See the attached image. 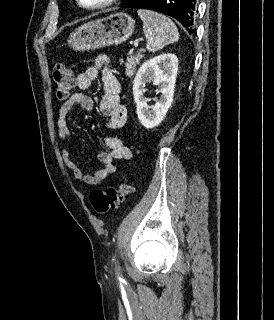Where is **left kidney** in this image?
Wrapping results in <instances>:
<instances>
[{
	"instance_id": "5707ae66",
	"label": "left kidney",
	"mask_w": 274,
	"mask_h": 320,
	"mask_svg": "<svg viewBox=\"0 0 274 320\" xmlns=\"http://www.w3.org/2000/svg\"><path fill=\"white\" fill-rule=\"evenodd\" d=\"M178 72V58L174 54H162L147 60L139 68L133 82V96L140 124L151 130L164 120L174 96L175 80ZM153 82L160 88L159 100L152 110H149L148 98L144 96L146 84Z\"/></svg>"
}]
</instances>
